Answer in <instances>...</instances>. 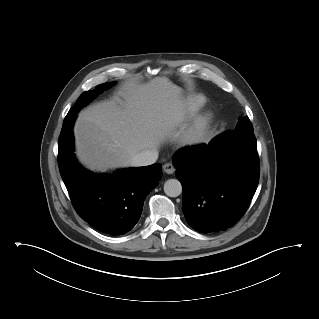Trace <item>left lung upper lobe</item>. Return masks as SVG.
<instances>
[{
    "instance_id": "5c2ea615",
    "label": "left lung upper lobe",
    "mask_w": 319,
    "mask_h": 319,
    "mask_svg": "<svg viewBox=\"0 0 319 319\" xmlns=\"http://www.w3.org/2000/svg\"><path fill=\"white\" fill-rule=\"evenodd\" d=\"M234 131L246 134H253V127L249 118L247 116L240 117Z\"/></svg>"
}]
</instances>
